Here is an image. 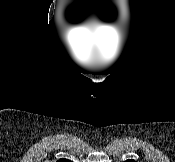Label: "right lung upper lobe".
<instances>
[{"label": "right lung upper lobe", "mask_w": 175, "mask_h": 162, "mask_svg": "<svg viewBox=\"0 0 175 162\" xmlns=\"http://www.w3.org/2000/svg\"><path fill=\"white\" fill-rule=\"evenodd\" d=\"M57 162H71L70 160H67V159H65V158H61V159H59Z\"/></svg>", "instance_id": "obj_1"}]
</instances>
